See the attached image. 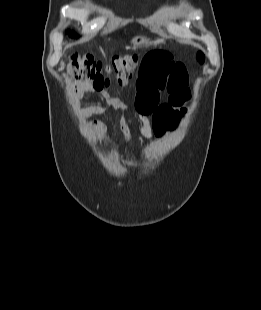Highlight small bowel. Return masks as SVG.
<instances>
[{"instance_id":"c3829d8e","label":"small bowel","mask_w":261,"mask_h":310,"mask_svg":"<svg viewBox=\"0 0 261 310\" xmlns=\"http://www.w3.org/2000/svg\"><path fill=\"white\" fill-rule=\"evenodd\" d=\"M89 86L78 88V93L91 92ZM169 93L168 102L159 105L160 93ZM106 106L124 111L125 105L116 98L103 94ZM190 99L188 75L185 66L176 62L167 52H152L147 54L141 64L140 78L137 83L136 107L140 114L141 133L145 137L160 135L165 129L174 126L185 112V104ZM99 111L96 107L83 110L85 117H91ZM152 115V123L149 116ZM121 132L125 140L129 139V130L125 121L121 122ZM95 134L105 131L100 121L91 124Z\"/></svg>"}]
</instances>
